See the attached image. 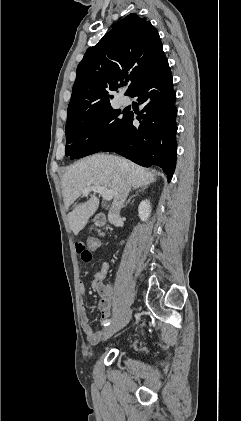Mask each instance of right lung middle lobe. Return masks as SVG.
<instances>
[{"label":"right lung middle lobe","mask_w":241,"mask_h":421,"mask_svg":"<svg viewBox=\"0 0 241 421\" xmlns=\"http://www.w3.org/2000/svg\"><path fill=\"white\" fill-rule=\"evenodd\" d=\"M129 113L111 106L66 124V156L81 158L100 152L124 130Z\"/></svg>","instance_id":"dd1d6c3e"}]
</instances>
